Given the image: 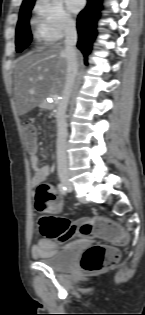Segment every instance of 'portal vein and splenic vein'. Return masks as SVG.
Wrapping results in <instances>:
<instances>
[{"label": "portal vein and splenic vein", "mask_w": 145, "mask_h": 315, "mask_svg": "<svg viewBox=\"0 0 145 315\" xmlns=\"http://www.w3.org/2000/svg\"><path fill=\"white\" fill-rule=\"evenodd\" d=\"M40 79H42V78H40ZM52 98H53L54 101H58V100H59V97H58V95H56V94L53 95Z\"/></svg>", "instance_id": "1"}]
</instances>
